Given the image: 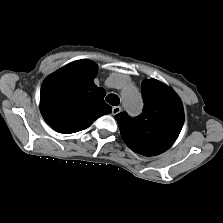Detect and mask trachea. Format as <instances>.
Wrapping results in <instances>:
<instances>
[{
    "label": "trachea",
    "instance_id": "1",
    "mask_svg": "<svg viewBox=\"0 0 223 223\" xmlns=\"http://www.w3.org/2000/svg\"><path fill=\"white\" fill-rule=\"evenodd\" d=\"M106 101L113 106H118L120 103V99L116 94H108L106 96Z\"/></svg>",
    "mask_w": 223,
    "mask_h": 223
}]
</instances>
